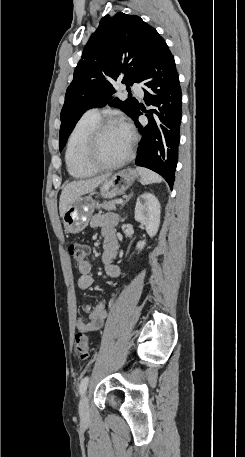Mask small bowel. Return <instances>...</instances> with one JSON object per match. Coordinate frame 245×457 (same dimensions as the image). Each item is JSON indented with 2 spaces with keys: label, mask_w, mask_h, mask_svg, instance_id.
I'll return each instance as SVG.
<instances>
[{
  "label": "small bowel",
  "mask_w": 245,
  "mask_h": 457,
  "mask_svg": "<svg viewBox=\"0 0 245 457\" xmlns=\"http://www.w3.org/2000/svg\"><path fill=\"white\" fill-rule=\"evenodd\" d=\"M118 224V216L114 213H101L93 216L91 226L100 228L104 238V253L102 262L105 272L110 277L121 276V268L114 263L116 257V232L115 228ZM78 286L80 289H88L93 284L91 275V264L85 260L78 264ZM85 311L88 314V320L77 318L76 327L78 330L92 332L99 330L107 317L106 305L103 301L98 302L95 306L85 305Z\"/></svg>",
  "instance_id": "1"
}]
</instances>
